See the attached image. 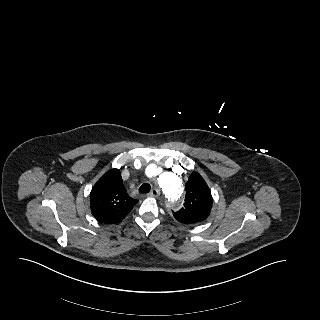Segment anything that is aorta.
I'll return each mask as SVG.
<instances>
[{
  "instance_id": "762f6f07",
  "label": "aorta",
  "mask_w": 320,
  "mask_h": 320,
  "mask_svg": "<svg viewBox=\"0 0 320 320\" xmlns=\"http://www.w3.org/2000/svg\"><path fill=\"white\" fill-rule=\"evenodd\" d=\"M160 187L166 198L168 205L173 209L182 207V186L177 176L172 173H164L160 177Z\"/></svg>"
}]
</instances>
